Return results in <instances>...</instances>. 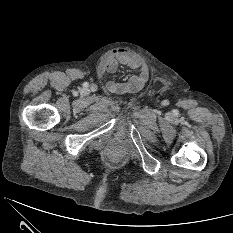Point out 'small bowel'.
Returning <instances> with one entry per match:
<instances>
[{
    "label": "small bowel",
    "instance_id": "1",
    "mask_svg": "<svg viewBox=\"0 0 233 233\" xmlns=\"http://www.w3.org/2000/svg\"><path fill=\"white\" fill-rule=\"evenodd\" d=\"M119 64L126 65L136 70L137 73L126 82L107 80L109 75L117 70ZM98 74L101 79L107 80L106 88L113 94L138 92L149 78L147 65L139 56L127 49H117L111 52L99 66Z\"/></svg>",
    "mask_w": 233,
    "mask_h": 233
}]
</instances>
